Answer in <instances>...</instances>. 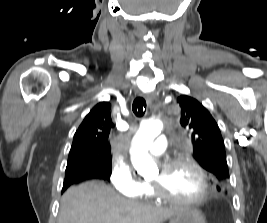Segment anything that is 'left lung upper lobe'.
I'll use <instances>...</instances> for the list:
<instances>
[{
    "instance_id": "1",
    "label": "left lung upper lobe",
    "mask_w": 267,
    "mask_h": 223,
    "mask_svg": "<svg viewBox=\"0 0 267 223\" xmlns=\"http://www.w3.org/2000/svg\"><path fill=\"white\" fill-rule=\"evenodd\" d=\"M181 107L180 124L190 133L194 157L217 180V190H224L229 178L225 146L220 129L208 110L196 99L178 97Z\"/></svg>"
}]
</instances>
